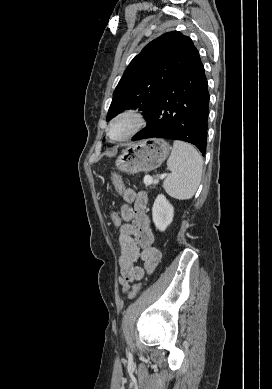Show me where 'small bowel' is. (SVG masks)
<instances>
[{"label":"small bowel","instance_id":"obj_1","mask_svg":"<svg viewBox=\"0 0 272 389\" xmlns=\"http://www.w3.org/2000/svg\"><path fill=\"white\" fill-rule=\"evenodd\" d=\"M122 196L125 203L119 211L123 221L119 228V281L123 291L127 292L130 283L142 279L156 268L161 253L154 247V234L147 215V195L126 188ZM140 260L144 263L143 267L136 265Z\"/></svg>","mask_w":272,"mask_h":389}]
</instances>
